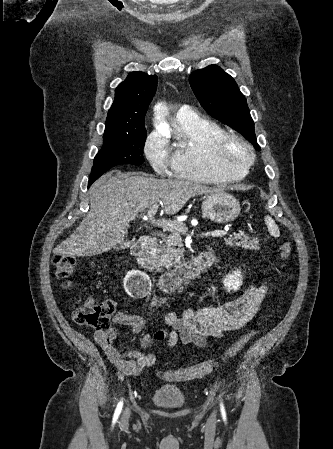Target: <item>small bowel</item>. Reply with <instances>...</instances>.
Here are the masks:
<instances>
[{"label":"small bowel","mask_w":333,"mask_h":449,"mask_svg":"<svg viewBox=\"0 0 333 449\" xmlns=\"http://www.w3.org/2000/svg\"><path fill=\"white\" fill-rule=\"evenodd\" d=\"M266 292L264 284L251 285L236 299L224 304L188 309L180 315L171 312L165 317L166 328L153 335H144L141 347L147 349L153 341L164 343L166 348L178 344L205 347L209 337H221L225 332L238 330L249 323L258 312ZM113 321L118 326L129 328L132 333H140L145 326L144 318L135 313L117 312ZM118 334L117 327L96 330L94 340L122 374L138 375L144 368L156 363L153 353L140 350L121 353L115 345Z\"/></svg>","instance_id":"small-bowel-1"}]
</instances>
